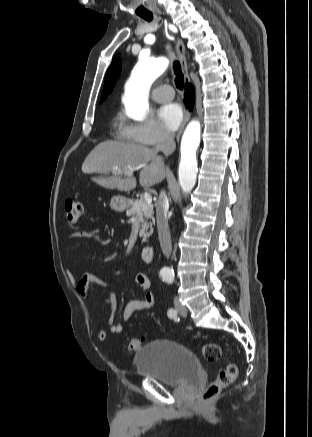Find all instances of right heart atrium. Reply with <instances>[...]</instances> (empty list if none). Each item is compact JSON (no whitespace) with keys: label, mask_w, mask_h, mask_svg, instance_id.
I'll use <instances>...</instances> for the list:
<instances>
[{"label":"right heart atrium","mask_w":312,"mask_h":437,"mask_svg":"<svg viewBox=\"0 0 312 437\" xmlns=\"http://www.w3.org/2000/svg\"><path fill=\"white\" fill-rule=\"evenodd\" d=\"M119 137L142 145L163 144L171 140V135L151 117L136 122L122 118Z\"/></svg>","instance_id":"obj_1"}]
</instances>
